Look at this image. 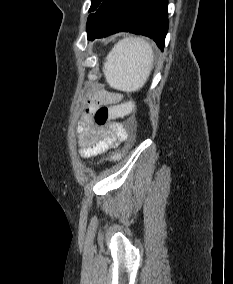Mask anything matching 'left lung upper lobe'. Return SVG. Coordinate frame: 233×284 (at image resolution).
<instances>
[{
	"instance_id": "5c2ea615",
	"label": "left lung upper lobe",
	"mask_w": 233,
	"mask_h": 284,
	"mask_svg": "<svg viewBox=\"0 0 233 284\" xmlns=\"http://www.w3.org/2000/svg\"><path fill=\"white\" fill-rule=\"evenodd\" d=\"M91 1H92V3H91V7L89 9V12H95L97 10V8L100 6V4L102 3L103 0H91ZM94 14L95 13H92L88 17L87 26H86L87 32L92 26V22L94 20Z\"/></svg>"
}]
</instances>
